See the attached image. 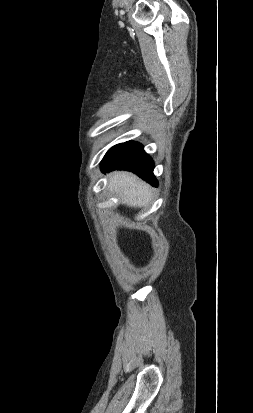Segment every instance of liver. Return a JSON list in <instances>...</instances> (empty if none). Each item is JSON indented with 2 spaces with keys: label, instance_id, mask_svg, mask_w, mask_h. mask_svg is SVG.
<instances>
[{
  "label": "liver",
  "instance_id": "obj_1",
  "mask_svg": "<svg viewBox=\"0 0 253 413\" xmlns=\"http://www.w3.org/2000/svg\"><path fill=\"white\" fill-rule=\"evenodd\" d=\"M108 187L121 197L123 204L129 207H146L152 199L151 187L130 172L111 173Z\"/></svg>",
  "mask_w": 253,
  "mask_h": 413
}]
</instances>
